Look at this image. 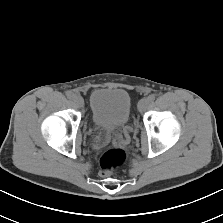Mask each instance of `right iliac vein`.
I'll return each mask as SVG.
<instances>
[{
    "label": "right iliac vein",
    "instance_id": "63e3f726",
    "mask_svg": "<svg viewBox=\"0 0 223 223\" xmlns=\"http://www.w3.org/2000/svg\"><path fill=\"white\" fill-rule=\"evenodd\" d=\"M73 102H74V104H75L76 106H78V107H82V106L84 105V100H83V98H82L81 96H79V95L74 96V98H73Z\"/></svg>",
    "mask_w": 223,
    "mask_h": 223
}]
</instances>
